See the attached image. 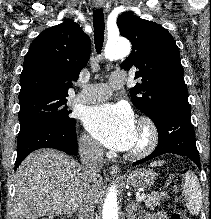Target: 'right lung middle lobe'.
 Wrapping results in <instances>:
<instances>
[{
  "mask_svg": "<svg viewBox=\"0 0 211 219\" xmlns=\"http://www.w3.org/2000/svg\"><path fill=\"white\" fill-rule=\"evenodd\" d=\"M66 102V97H37L20 101V130L39 123L73 127L75 120L69 117L72 111L67 109Z\"/></svg>",
  "mask_w": 211,
  "mask_h": 219,
  "instance_id": "right-lung-middle-lobe-1",
  "label": "right lung middle lobe"
}]
</instances>
